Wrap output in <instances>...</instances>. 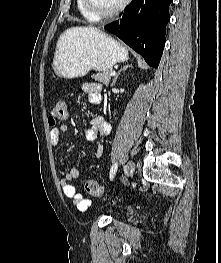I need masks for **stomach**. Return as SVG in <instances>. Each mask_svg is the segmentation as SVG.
<instances>
[{
  "mask_svg": "<svg viewBox=\"0 0 221 263\" xmlns=\"http://www.w3.org/2000/svg\"><path fill=\"white\" fill-rule=\"evenodd\" d=\"M128 59V51L100 30L75 27L66 30L57 43L52 68L59 77L73 79L90 70L107 71Z\"/></svg>",
  "mask_w": 221,
  "mask_h": 263,
  "instance_id": "obj_1",
  "label": "stomach"
}]
</instances>
